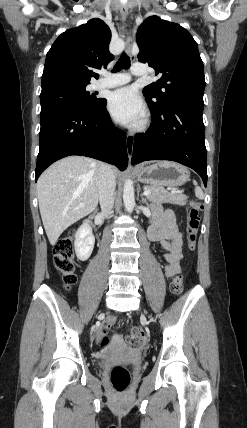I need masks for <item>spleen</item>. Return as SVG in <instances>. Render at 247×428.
Here are the masks:
<instances>
[{"label": "spleen", "mask_w": 247, "mask_h": 428, "mask_svg": "<svg viewBox=\"0 0 247 428\" xmlns=\"http://www.w3.org/2000/svg\"><path fill=\"white\" fill-rule=\"evenodd\" d=\"M194 185L195 187V195L199 198V199H204V193L202 191V189L197 185V183L194 181Z\"/></svg>", "instance_id": "3e777b00"}]
</instances>
